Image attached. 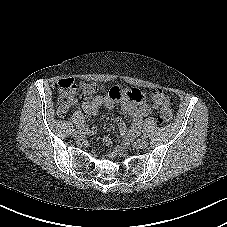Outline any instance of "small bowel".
Here are the masks:
<instances>
[{"instance_id": "1", "label": "small bowel", "mask_w": 227, "mask_h": 227, "mask_svg": "<svg viewBox=\"0 0 227 227\" xmlns=\"http://www.w3.org/2000/svg\"><path fill=\"white\" fill-rule=\"evenodd\" d=\"M104 90V87H101ZM143 102V93L139 88H132L131 90L122 89L119 87L111 88L106 95H97L90 101H85L82 104L84 112L88 115H96L98 111L105 107L113 109L119 105L121 110L133 118L130 128H127L122 119H117L122 136L130 140L134 138L141 130L143 119L149 114V107ZM108 143V139H105Z\"/></svg>"}]
</instances>
